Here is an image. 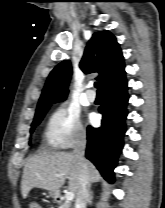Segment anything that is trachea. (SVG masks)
I'll return each instance as SVG.
<instances>
[{
    "mask_svg": "<svg viewBox=\"0 0 165 208\" xmlns=\"http://www.w3.org/2000/svg\"><path fill=\"white\" fill-rule=\"evenodd\" d=\"M94 86L97 89V91L100 92V90H99L100 84L98 82H95Z\"/></svg>",
    "mask_w": 165,
    "mask_h": 208,
    "instance_id": "obj_1",
    "label": "trachea"
}]
</instances>
